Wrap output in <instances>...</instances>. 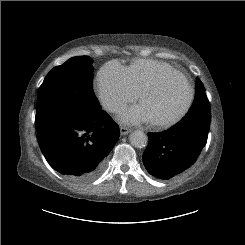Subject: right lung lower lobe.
<instances>
[{
    "label": "right lung lower lobe",
    "instance_id": "obj_1",
    "mask_svg": "<svg viewBox=\"0 0 245 245\" xmlns=\"http://www.w3.org/2000/svg\"><path fill=\"white\" fill-rule=\"evenodd\" d=\"M48 163L59 173L89 181L104 169L119 127L103 110L60 116L37 129Z\"/></svg>",
    "mask_w": 245,
    "mask_h": 245
}]
</instances>
